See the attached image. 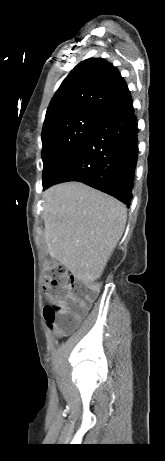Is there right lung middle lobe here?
Here are the masks:
<instances>
[{"instance_id": "right-lung-middle-lobe-1", "label": "right lung middle lobe", "mask_w": 165, "mask_h": 461, "mask_svg": "<svg viewBox=\"0 0 165 461\" xmlns=\"http://www.w3.org/2000/svg\"><path fill=\"white\" fill-rule=\"evenodd\" d=\"M101 121L82 115L54 120L42 130L43 186Z\"/></svg>"}]
</instances>
